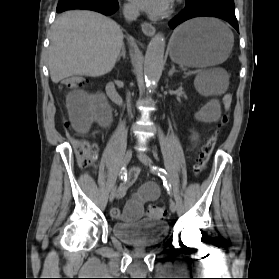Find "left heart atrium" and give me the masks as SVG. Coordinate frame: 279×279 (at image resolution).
<instances>
[{
	"label": "left heart atrium",
	"instance_id": "obj_1",
	"mask_svg": "<svg viewBox=\"0 0 279 279\" xmlns=\"http://www.w3.org/2000/svg\"><path fill=\"white\" fill-rule=\"evenodd\" d=\"M141 10L153 14L161 15L166 13L173 0H131Z\"/></svg>",
	"mask_w": 279,
	"mask_h": 279
}]
</instances>
